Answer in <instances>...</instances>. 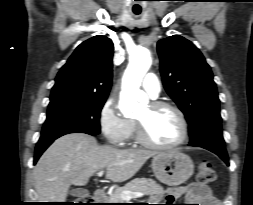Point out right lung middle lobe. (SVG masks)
I'll return each instance as SVG.
<instances>
[{"mask_svg": "<svg viewBox=\"0 0 253 205\" xmlns=\"http://www.w3.org/2000/svg\"><path fill=\"white\" fill-rule=\"evenodd\" d=\"M106 97L70 96L51 100L41 135L66 130L100 133V112Z\"/></svg>", "mask_w": 253, "mask_h": 205, "instance_id": "1", "label": "right lung middle lobe"}]
</instances>
